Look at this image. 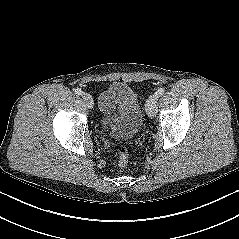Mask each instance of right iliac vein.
<instances>
[{
	"label": "right iliac vein",
	"instance_id": "1",
	"mask_svg": "<svg viewBox=\"0 0 239 239\" xmlns=\"http://www.w3.org/2000/svg\"><path fill=\"white\" fill-rule=\"evenodd\" d=\"M82 99L88 108H93L94 103H93V99L90 94L84 92L82 94Z\"/></svg>",
	"mask_w": 239,
	"mask_h": 239
}]
</instances>
